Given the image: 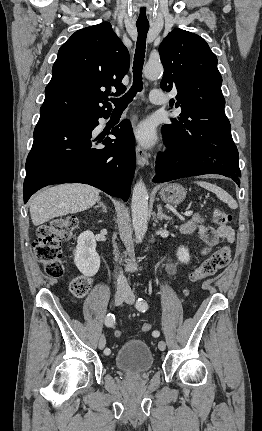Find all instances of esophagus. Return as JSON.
Segmentation results:
<instances>
[{
	"mask_svg": "<svg viewBox=\"0 0 262 431\" xmlns=\"http://www.w3.org/2000/svg\"><path fill=\"white\" fill-rule=\"evenodd\" d=\"M136 157L140 167H144L147 164L148 154L140 145L136 146Z\"/></svg>",
	"mask_w": 262,
	"mask_h": 431,
	"instance_id": "obj_1",
	"label": "esophagus"
}]
</instances>
